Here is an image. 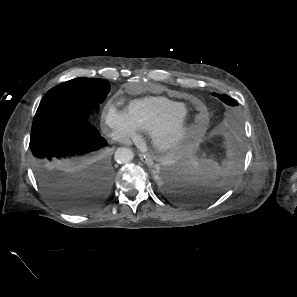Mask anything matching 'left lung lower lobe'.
I'll list each match as a JSON object with an SVG mask.
<instances>
[{
    "label": "left lung lower lobe",
    "mask_w": 297,
    "mask_h": 297,
    "mask_svg": "<svg viewBox=\"0 0 297 297\" xmlns=\"http://www.w3.org/2000/svg\"><path fill=\"white\" fill-rule=\"evenodd\" d=\"M158 176L164 192L180 203L207 202L219 197L228 187L226 181L211 174L195 175L184 159L163 166Z\"/></svg>",
    "instance_id": "0a47b994"
}]
</instances>
